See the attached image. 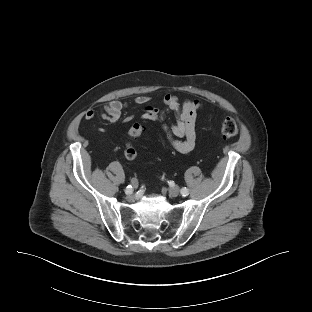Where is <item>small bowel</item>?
I'll list each match as a JSON object with an SVG mask.
<instances>
[{
    "mask_svg": "<svg viewBox=\"0 0 312 312\" xmlns=\"http://www.w3.org/2000/svg\"><path fill=\"white\" fill-rule=\"evenodd\" d=\"M150 97L147 95L137 96L133 103L142 107L141 118L145 121H162L167 113L172 112L175 115V123L170 127L162 126V130L166 135L172 147L181 154L190 153L196 145V119L199 110L202 108L200 100H185L180 103L178 98L170 93L164 95L162 101L164 108L150 105ZM129 102L121 100H111L105 103L100 109L101 117L110 122L116 123L122 117V112L128 108ZM95 111L92 109L84 112L85 120H92ZM133 120V116L129 115L124 118V123ZM183 138V139H182Z\"/></svg>",
    "mask_w": 312,
    "mask_h": 312,
    "instance_id": "c3829d8e",
    "label": "small bowel"
}]
</instances>
